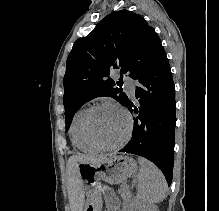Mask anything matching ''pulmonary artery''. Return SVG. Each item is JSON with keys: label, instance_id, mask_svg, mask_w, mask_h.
Listing matches in <instances>:
<instances>
[{"label": "pulmonary artery", "instance_id": "1", "mask_svg": "<svg viewBox=\"0 0 219 211\" xmlns=\"http://www.w3.org/2000/svg\"><path fill=\"white\" fill-rule=\"evenodd\" d=\"M126 88L131 96H134L135 86L131 82L126 83Z\"/></svg>", "mask_w": 219, "mask_h": 211}]
</instances>
